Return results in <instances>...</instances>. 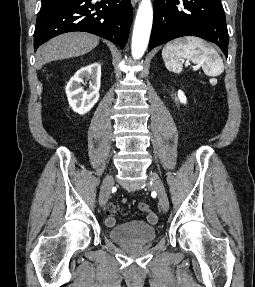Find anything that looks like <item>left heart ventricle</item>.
Here are the masks:
<instances>
[{
    "instance_id": "b2bd125f",
    "label": "left heart ventricle",
    "mask_w": 255,
    "mask_h": 287,
    "mask_svg": "<svg viewBox=\"0 0 255 287\" xmlns=\"http://www.w3.org/2000/svg\"><path fill=\"white\" fill-rule=\"evenodd\" d=\"M151 48H159V47H151ZM164 48H166V47H164Z\"/></svg>"
}]
</instances>
